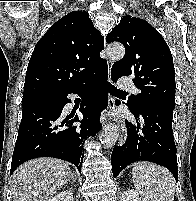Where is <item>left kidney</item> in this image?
I'll return each instance as SVG.
<instances>
[{
    "label": "left kidney",
    "mask_w": 196,
    "mask_h": 201,
    "mask_svg": "<svg viewBox=\"0 0 196 201\" xmlns=\"http://www.w3.org/2000/svg\"><path fill=\"white\" fill-rule=\"evenodd\" d=\"M138 192L135 190H126L122 193V201H144L143 199L139 200Z\"/></svg>",
    "instance_id": "obj_1"
}]
</instances>
